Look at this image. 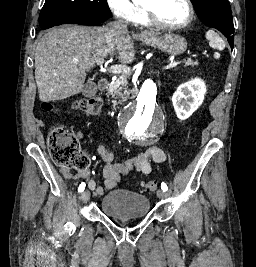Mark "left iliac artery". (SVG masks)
Segmentation results:
<instances>
[{
	"label": "left iliac artery",
	"mask_w": 256,
	"mask_h": 267,
	"mask_svg": "<svg viewBox=\"0 0 256 267\" xmlns=\"http://www.w3.org/2000/svg\"><path fill=\"white\" fill-rule=\"evenodd\" d=\"M161 189H162L164 192L168 190V187H167V185H166L164 182L161 183Z\"/></svg>",
	"instance_id": "44dca946"
}]
</instances>
